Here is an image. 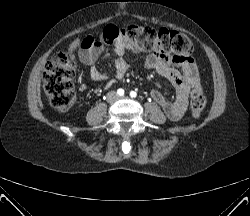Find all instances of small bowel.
Returning a JSON list of instances; mask_svg holds the SVG:
<instances>
[{
    "mask_svg": "<svg viewBox=\"0 0 250 216\" xmlns=\"http://www.w3.org/2000/svg\"><path fill=\"white\" fill-rule=\"evenodd\" d=\"M88 39L94 37L89 36ZM103 45L90 44L82 47L79 57L83 64L90 67V77L95 82H104L107 76L100 72L95 63L103 53ZM127 51L139 53L140 49L130 45L124 40H118L114 44L115 80H121L128 70V63L124 59ZM145 67L154 70L161 76L168 79L175 88L176 98L174 101L168 100L163 93L153 90L151 96L153 100L163 109L169 119L180 120L187 111L189 95L194 90L201 91V85L197 73V67L190 57L170 56L161 53H152L145 60Z\"/></svg>",
    "mask_w": 250,
    "mask_h": 216,
    "instance_id": "obj_1",
    "label": "small bowel"
}]
</instances>
